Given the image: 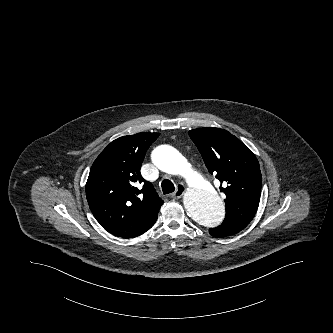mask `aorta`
Returning a JSON list of instances; mask_svg holds the SVG:
<instances>
[{
    "label": "aorta",
    "instance_id": "1",
    "mask_svg": "<svg viewBox=\"0 0 333 333\" xmlns=\"http://www.w3.org/2000/svg\"><path fill=\"white\" fill-rule=\"evenodd\" d=\"M152 162L163 172L185 176L189 186L183 196V204L194 221L205 228L216 227L223 221L225 211L222 199L200 173L190 169L178 150L161 145L153 151Z\"/></svg>",
    "mask_w": 333,
    "mask_h": 333
}]
</instances>
